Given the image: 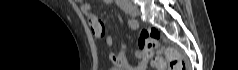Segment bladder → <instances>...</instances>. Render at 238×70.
I'll return each mask as SVG.
<instances>
[{
	"mask_svg": "<svg viewBox=\"0 0 238 70\" xmlns=\"http://www.w3.org/2000/svg\"><path fill=\"white\" fill-rule=\"evenodd\" d=\"M111 70H118V69H116V68H111Z\"/></svg>",
	"mask_w": 238,
	"mask_h": 70,
	"instance_id": "1",
	"label": "bladder"
}]
</instances>
